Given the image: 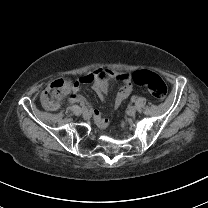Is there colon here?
<instances>
[{
	"label": "colon",
	"mask_w": 208,
	"mask_h": 208,
	"mask_svg": "<svg viewBox=\"0 0 208 208\" xmlns=\"http://www.w3.org/2000/svg\"><path fill=\"white\" fill-rule=\"evenodd\" d=\"M98 79H112L113 76L109 72H102L97 74ZM133 82L141 87H145L150 92V95L158 100H162L167 95V86L163 79L156 73L149 71H137L132 75ZM75 81L71 77H64L60 80H54L47 85L45 94L43 96V103L48 108H55L58 106L59 101L65 95L73 92L75 88ZM82 87L78 84V89Z\"/></svg>",
	"instance_id": "obj_1"
}]
</instances>
